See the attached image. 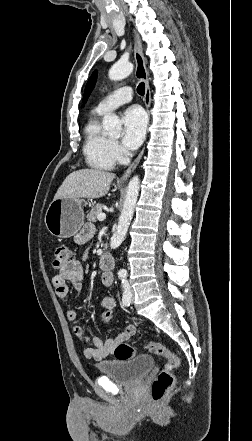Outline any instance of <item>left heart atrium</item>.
<instances>
[{
	"mask_svg": "<svg viewBox=\"0 0 252 441\" xmlns=\"http://www.w3.org/2000/svg\"><path fill=\"white\" fill-rule=\"evenodd\" d=\"M123 125L122 142L128 149L135 150L145 137L147 117L144 110L136 105L129 107L123 114Z\"/></svg>",
	"mask_w": 252,
	"mask_h": 441,
	"instance_id": "39dd6f15",
	"label": "left heart atrium"
}]
</instances>
